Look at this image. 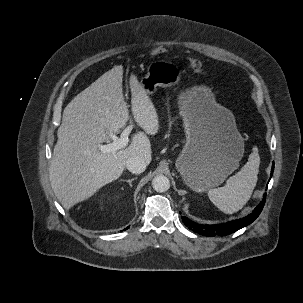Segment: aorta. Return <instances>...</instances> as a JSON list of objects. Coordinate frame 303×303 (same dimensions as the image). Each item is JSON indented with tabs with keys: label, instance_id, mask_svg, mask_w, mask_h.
I'll use <instances>...</instances> for the list:
<instances>
[{
	"label": "aorta",
	"instance_id": "aorta-1",
	"mask_svg": "<svg viewBox=\"0 0 303 303\" xmlns=\"http://www.w3.org/2000/svg\"><path fill=\"white\" fill-rule=\"evenodd\" d=\"M152 187L157 192H165L170 188V181L164 175H157L152 180Z\"/></svg>",
	"mask_w": 303,
	"mask_h": 303
}]
</instances>
